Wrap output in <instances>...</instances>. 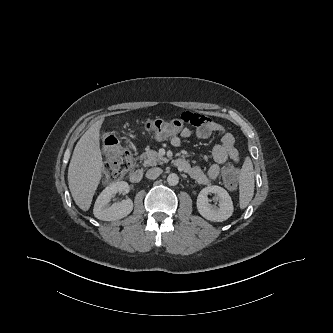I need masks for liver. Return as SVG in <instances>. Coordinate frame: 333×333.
<instances>
[{
  "mask_svg": "<svg viewBox=\"0 0 333 333\" xmlns=\"http://www.w3.org/2000/svg\"><path fill=\"white\" fill-rule=\"evenodd\" d=\"M103 122L104 118L96 121L80 138L68 168L70 192L83 211L89 210L102 177L104 163L100 150V129Z\"/></svg>",
  "mask_w": 333,
  "mask_h": 333,
  "instance_id": "obj_1",
  "label": "liver"
}]
</instances>
